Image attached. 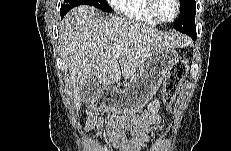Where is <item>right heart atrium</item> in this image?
Returning a JSON list of instances; mask_svg holds the SVG:
<instances>
[{"mask_svg":"<svg viewBox=\"0 0 231 151\" xmlns=\"http://www.w3.org/2000/svg\"><path fill=\"white\" fill-rule=\"evenodd\" d=\"M120 1V0H119ZM118 0H112V1H110V3H112V4H116L117 2H119Z\"/></svg>","mask_w":231,"mask_h":151,"instance_id":"d8ad5b80","label":"right heart atrium"}]
</instances>
